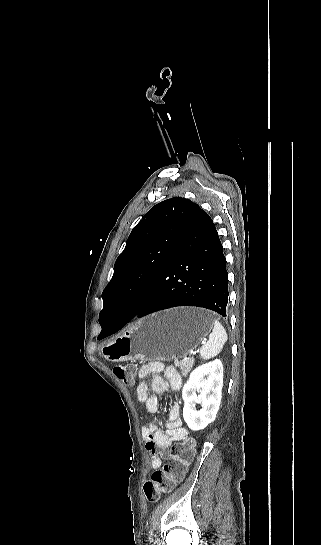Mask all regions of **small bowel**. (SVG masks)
Listing matches in <instances>:
<instances>
[{"label": "small bowel", "mask_w": 321, "mask_h": 545, "mask_svg": "<svg viewBox=\"0 0 321 545\" xmlns=\"http://www.w3.org/2000/svg\"><path fill=\"white\" fill-rule=\"evenodd\" d=\"M154 374L152 378V389L155 393L161 394L169 389L180 390L182 378L173 367H165L161 362H150L143 365L139 370V383L136 387V394L144 409L151 415L159 410L158 399L151 395L148 389L146 378ZM181 408L174 404L169 410L165 430H162L154 417H150L142 426L141 433L145 441L146 449L151 454V466L158 469L165 457L168 456V449L177 441L187 437V430L182 426L180 417Z\"/></svg>", "instance_id": "1"}]
</instances>
